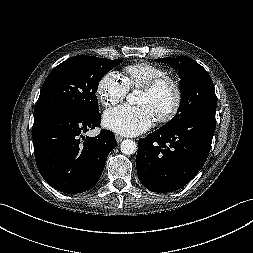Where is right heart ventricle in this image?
I'll return each mask as SVG.
<instances>
[{
	"instance_id": "1",
	"label": "right heart ventricle",
	"mask_w": 253,
	"mask_h": 253,
	"mask_svg": "<svg viewBox=\"0 0 253 253\" xmlns=\"http://www.w3.org/2000/svg\"><path fill=\"white\" fill-rule=\"evenodd\" d=\"M165 76L160 66L149 62H139L126 66L123 69L122 79L128 89L142 88L153 80Z\"/></svg>"
}]
</instances>
